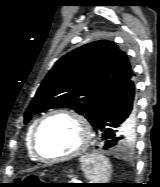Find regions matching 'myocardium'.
<instances>
[{
  "label": "myocardium",
  "mask_w": 160,
  "mask_h": 187,
  "mask_svg": "<svg viewBox=\"0 0 160 187\" xmlns=\"http://www.w3.org/2000/svg\"><path fill=\"white\" fill-rule=\"evenodd\" d=\"M56 115H67V116H70V117H73L74 119H76L79 122V124L82 126L84 135H83L82 143L75 150H73L72 152L65 154V155H60L57 157L50 158V157H45L40 153L39 148H38V135H39V132H40L42 126L44 125V123L49 118L56 116ZM91 139H92L91 124L82 113L75 111V110H71V109H58V110L50 111V112L46 113L45 115H43L40 119H38V121L36 122V124L34 126L33 132H32L31 146H32V151H33L34 155L41 162L57 163V162H61V161L75 158V157L81 155L82 153H84L87 150V148L89 147Z\"/></svg>",
  "instance_id": "1"
}]
</instances>
